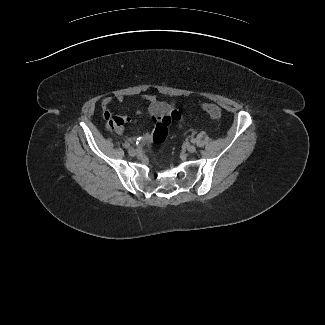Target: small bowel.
Masks as SVG:
<instances>
[{
	"label": "small bowel",
	"instance_id": "small-bowel-1",
	"mask_svg": "<svg viewBox=\"0 0 325 325\" xmlns=\"http://www.w3.org/2000/svg\"><path fill=\"white\" fill-rule=\"evenodd\" d=\"M116 100L120 103L126 100L125 96L118 95ZM148 102V112L150 115L152 130L143 134L144 141L154 140L162 142L167 136V126L171 121H177L182 118V114L178 111H172L175 108L174 102L159 101L153 96H146ZM113 97H105L102 100V109L104 118L108 123V127L115 133L120 134L123 131L124 125L132 121L131 117H117L110 112V107L113 104ZM139 113V109H136Z\"/></svg>",
	"mask_w": 325,
	"mask_h": 325
}]
</instances>
